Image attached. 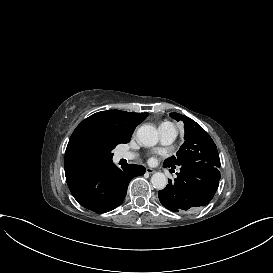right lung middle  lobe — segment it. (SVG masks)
I'll list each match as a JSON object with an SVG mask.
<instances>
[{
	"label": "right lung middle lobe",
	"instance_id": "obj_1",
	"mask_svg": "<svg viewBox=\"0 0 273 273\" xmlns=\"http://www.w3.org/2000/svg\"><path fill=\"white\" fill-rule=\"evenodd\" d=\"M112 156H113V154H110V155H109L110 159H112Z\"/></svg>",
	"mask_w": 273,
	"mask_h": 273
}]
</instances>
